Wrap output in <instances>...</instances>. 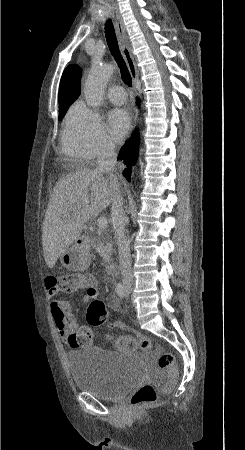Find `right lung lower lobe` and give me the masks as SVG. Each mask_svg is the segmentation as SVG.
I'll list each match as a JSON object with an SVG mask.
<instances>
[{
	"label": "right lung lower lobe",
	"instance_id": "1",
	"mask_svg": "<svg viewBox=\"0 0 245 450\" xmlns=\"http://www.w3.org/2000/svg\"><path fill=\"white\" fill-rule=\"evenodd\" d=\"M139 103V101H138ZM138 134L135 133L131 139L121 148L119 152V159L124 160V163L127 165V168L123 170V175L126 177L128 181L131 180V165H135L137 152H138Z\"/></svg>",
	"mask_w": 245,
	"mask_h": 450
}]
</instances>
